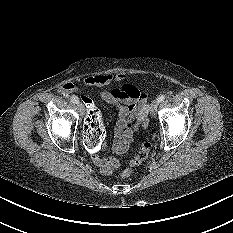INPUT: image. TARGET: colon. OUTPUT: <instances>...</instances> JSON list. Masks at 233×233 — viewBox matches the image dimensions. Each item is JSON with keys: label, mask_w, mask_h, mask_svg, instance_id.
Segmentation results:
<instances>
[{"label": "colon", "mask_w": 233, "mask_h": 233, "mask_svg": "<svg viewBox=\"0 0 233 233\" xmlns=\"http://www.w3.org/2000/svg\"><path fill=\"white\" fill-rule=\"evenodd\" d=\"M79 106L82 108L84 112V124H85V140L87 144V150L90 153H98L103 148V138L105 134L104 129V123L102 120V117L99 113V111L95 108L93 105V102L90 100V97L88 95H81L78 100ZM142 126L147 127L148 126V119L145 117L142 120ZM151 144L148 141H144L141 144L139 152L136 154V156L130 161V165L132 167L140 165L142 162H144L150 153ZM131 175L130 169H125L121 173L122 178H128Z\"/></svg>", "instance_id": "1"}]
</instances>
